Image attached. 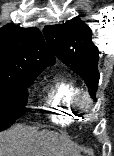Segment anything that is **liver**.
I'll use <instances>...</instances> for the list:
<instances>
[{"label": "liver", "mask_w": 114, "mask_h": 156, "mask_svg": "<svg viewBox=\"0 0 114 156\" xmlns=\"http://www.w3.org/2000/svg\"><path fill=\"white\" fill-rule=\"evenodd\" d=\"M81 150L54 131L17 125L0 133V156H78Z\"/></svg>", "instance_id": "1"}]
</instances>
